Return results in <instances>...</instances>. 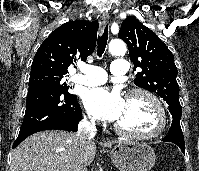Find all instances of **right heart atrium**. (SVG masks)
I'll return each mask as SVG.
<instances>
[{
    "instance_id": "obj_1",
    "label": "right heart atrium",
    "mask_w": 199,
    "mask_h": 171,
    "mask_svg": "<svg viewBox=\"0 0 199 171\" xmlns=\"http://www.w3.org/2000/svg\"><path fill=\"white\" fill-rule=\"evenodd\" d=\"M88 120L91 122V123H94L95 122V118L93 116H89L88 117Z\"/></svg>"
}]
</instances>
